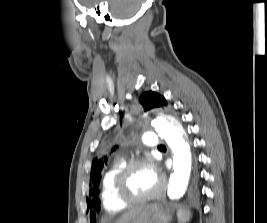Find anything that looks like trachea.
I'll list each match as a JSON object with an SVG mask.
<instances>
[{"label": "trachea", "instance_id": "obj_1", "mask_svg": "<svg viewBox=\"0 0 267 223\" xmlns=\"http://www.w3.org/2000/svg\"><path fill=\"white\" fill-rule=\"evenodd\" d=\"M159 147H164L163 145H160Z\"/></svg>", "mask_w": 267, "mask_h": 223}]
</instances>
